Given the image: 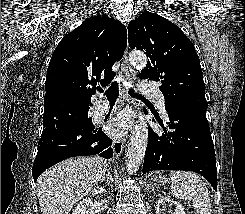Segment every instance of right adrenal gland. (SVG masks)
I'll return each instance as SVG.
<instances>
[{
    "label": "right adrenal gland",
    "instance_id": "1",
    "mask_svg": "<svg viewBox=\"0 0 245 214\" xmlns=\"http://www.w3.org/2000/svg\"><path fill=\"white\" fill-rule=\"evenodd\" d=\"M106 180V184L109 185L112 187V184H113V179H112V175H111V167L110 165L108 166V171H107V174L106 176L103 177L102 179V182Z\"/></svg>",
    "mask_w": 245,
    "mask_h": 214
}]
</instances>
